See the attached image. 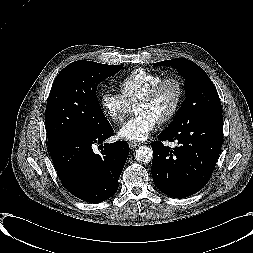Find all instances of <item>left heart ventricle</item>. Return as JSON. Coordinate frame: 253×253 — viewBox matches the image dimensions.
I'll return each mask as SVG.
<instances>
[{
  "mask_svg": "<svg viewBox=\"0 0 253 253\" xmlns=\"http://www.w3.org/2000/svg\"><path fill=\"white\" fill-rule=\"evenodd\" d=\"M178 90L174 83L165 84L153 100L135 105L134 111L137 115L148 114L156 121L163 118L175 105Z\"/></svg>",
  "mask_w": 253,
  "mask_h": 253,
  "instance_id": "b2bd125f",
  "label": "left heart ventricle"
}]
</instances>
